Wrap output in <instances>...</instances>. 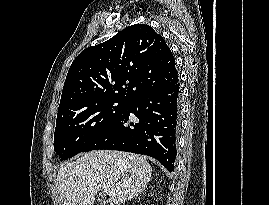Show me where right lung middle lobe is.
Segmentation results:
<instances>
[{
  "mask_svg": "<svg viewBox=\"0 0 269 205\" xmlns=\"http://www.w3.org/2000/svg\"><path fill=\"white\" fill-rule=\"evenodd\" d=\"M127 102L109 100L56 120L54 150L67 160L82 152L125 110Z\"/></svg>",
  "mask_w": 269,
  "mask_h": 205,
  "instance_id": "dd1d6c3e",
  "label": "right lung middle lobe"
}]
</instances>
